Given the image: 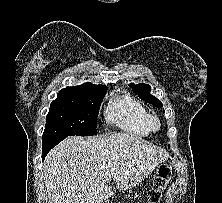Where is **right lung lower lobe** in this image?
<instances>
[{
    "instance_id": "98d812e1",
    "label": "right lung lower lobe",
    "mask_w": 222,
    "mask_h": 203,
    "mask_svg": "<svg viewBox=\"0 0 222 203\" xmlns=\"http://www.w3.org/2000/svg\"><path fill=\"white\" fill-rule=\"evenodd\" d=\"M60 140H51V141H45L43 142V147H42V160L45 159V156L48 154V152L56 146Z\"/></svg>"
}]
</instances>
